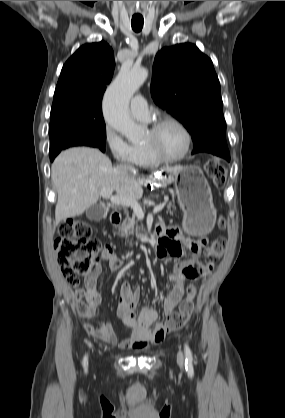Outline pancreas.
I'll return each instance as SVG.
<instances>
[{"mask_svg": "<svg viewBox=\"0 0 285 418\" xmlns=\"http://www.w3.org/2000/svg\"><path fill=\"white\" fill-rule=\"evenodd\" d=\"M168 208H173L174 210L176 209V207L171 203L168 205ZM142 231L143 226L137 224L134 215L132 217L127 215L122 224L118 227V234L125 239H128L130 235L134 234V232H136V235L139 236ZM130 245H132V242H130Z\"/></svg>", "mask_w": 285, "mask_h": 418, "instance_id": "obj_1", "label": "pancreas"}]
</instances>
